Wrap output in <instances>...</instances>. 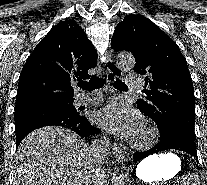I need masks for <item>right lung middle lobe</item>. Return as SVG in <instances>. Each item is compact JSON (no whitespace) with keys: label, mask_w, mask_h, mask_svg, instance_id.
Listing matches in <instances>:
<instances>
[{"label":"right lung middle lobe","mask_w":207,"mask_h":185,"mask_svg":"<svg viewBox=\"0 0 207 185\" xmlns=\"http://www.w3.org/2000/svg\"><path fill=\"white\" fill-rule=\"evenodd\" d=\"M15 130L28 124L44 120H54L58 123H78L85 119L84 112L76 109L72 103L40 105L14 112Z\"/></svg>","instance_id":"1"}]
</instances>
